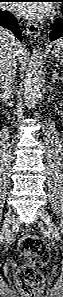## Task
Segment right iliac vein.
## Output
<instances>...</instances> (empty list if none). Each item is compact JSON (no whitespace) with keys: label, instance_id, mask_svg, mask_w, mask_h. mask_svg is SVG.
<instances>
[{"label":"right iliac vein","instance_id":"obj_1","mask_svg":"<svg viewBox=\"0 0 63 297\" xmlns=\"http://www.w3.org/2000/svg\"><path fill=\"white\" fill-rule=\"evenodd\" d=\"M12 217H13V216H12V213H11V211H9V212L6 214L5 219H4V221H3V226H2V228H1V232H2V233H5V232L8 231L9 225H10V223H11V221H12ZM5 239H6V243H7L8 245H11L12 242H13V240H14V233H13V232L10 233L9 235H7V236L5 237Z\"/></svg>","mask_w":63,"mask_h":297}]
</instances>
